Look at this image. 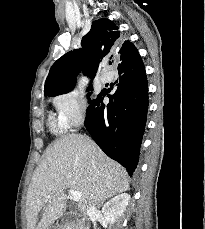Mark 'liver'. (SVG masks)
I'll use <instances>...</instances> for the list:
<instances>
[{
  "label": "liver",
  "instance_id": "obj_1",
  "mask_svg": "<svg viewBox=\"0 0 205 229\" xmlns=\"http://www.w3.org/2000/svg\"><path fill=\"white\" fill-rule=\"evenodd\" d=\"M68 188L81 192L78 206L85 213L89 202L99 205L128 190V174L87 136L69 134L57 139L44 152L29 185L27 229H49L66 209Z\"/></svg>",
  "mask_w": 205,
  "mask_h": 229
}]
</instances>
